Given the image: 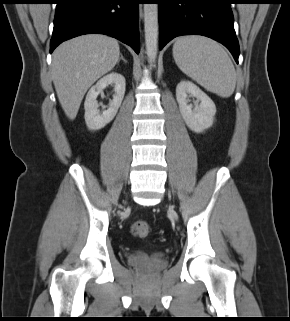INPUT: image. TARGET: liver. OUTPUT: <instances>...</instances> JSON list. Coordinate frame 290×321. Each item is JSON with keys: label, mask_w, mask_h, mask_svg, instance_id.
<instances>
[{"label": "liver", "mask_w": 290, "mask_h": 321, "mask_svg": "<svg viewBox=\"0 0 290 321\" xmlns=\"http://www.w3.org/2000/svg\"><path fill=\"white\" fill-rule=\"evenodd\" d=\"M120 47L116 39L87 34L63 42L52 59V79L66 116L74 120L90 86L117 64Z\"/></svg>", "instance_id": "1"}]
</instances>
